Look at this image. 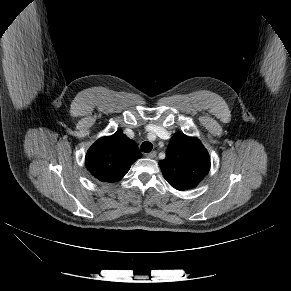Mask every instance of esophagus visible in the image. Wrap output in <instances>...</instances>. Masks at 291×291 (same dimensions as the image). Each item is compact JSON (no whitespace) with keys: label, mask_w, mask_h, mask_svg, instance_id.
<instances>
[{"label":"esophagus","mask_w":291,"mask_h":291,"mask_svg":"<svg viewBox=\"0 0 291 291\" xmlns=\"http://www.w3.org/2000/svg\"><path fill=\"white\" fill-rule=\"evenodd\" d=\"M156 155H157V152H156V151H152V152H150V153H147L145 156H146L147 158H151V159H153V158L156 157Z\"/></svg>","instance_id":"34e87169"}]
</instances>
